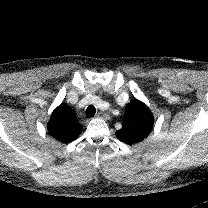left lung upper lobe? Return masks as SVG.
<instances>
[{
  "mask_svg": "<svg viewBox=\"0 0 208 208\" xmlns=\"http://www.w3.org/2000/svg\"><path fill=\"white\" fill-rule=\"evenodd\" d=\"M153 123L150 109L134 98L125 108L122 128L116 131V137L126 144H135L149 135Z\"/></svg>",
  "mask_w": 208,
  "mask_h": 208,
  "instance_id": "1",
  "label": "left lung upper lobe"
}]
</instances>
